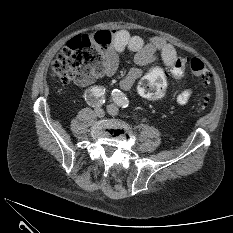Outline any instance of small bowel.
I'll use <instances>...</instances> for the list:
<instances>
[{
  "label": "small bowel",
  "mask_w": 233,
  "mask_h": 233,
  "mask_svg": "<svg viewBox=\"0 0 233 233\" xmlns=\"http://www.w3.org/2000/svg\"><path fill=\"white\" fill-rule=\"evenodd\" d=\"M112 36V44L107 52L103 74L112 75L117 69L118 56L125 50L134 53L135 63L139 66H148L160 59L163 64L170 68L177 59V52L174 46L161 37H153L145 41L138 35H132L125 29H118L109 32ZM142 71L139 68L131 69L119 82L124 90H129L141 78ZM192 95L191 89L183 90L177 96V102L185 105Z\"/></svg>",
  "instance_id": "obj_1"
}]
</instances>
